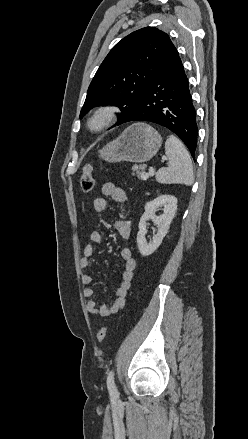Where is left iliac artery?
I'll return each mask as SVG.
<instances>
[{
  "label": "left iliac artery",
  "mask_w": 248,
  "mask_h": 439,
  "mask_svg": "<svg viewBox=\"0 0 248 439\" xmlns=\"http://www.w3.org/2000/svg\"><path fill=\"white\" fill-rule=\"evenodd\" d=\"M107 387L111 396H118V391L114 382V371L111 370L107 377Z\"/></svg>",
  "instance_id": "left-iliac-artery-1"
}]
</instances>
